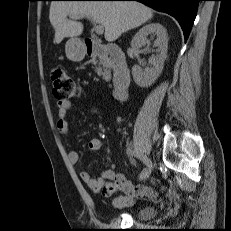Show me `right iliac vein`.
<instances>
[{
    "label": "right iliac vein",
    "instance_id": "1",
    "mask_svg": "<svg viewBox=\"0 0 231 231\" xmlns=\"http://www.w3.org/2000/svg\"><path fill=\"white\" fill-rule=\"evenodd\" d=\"M147 166H148V168H149L150 170L153 168V165H152V162H151L150 159H148V161H147Z\"/></svg>",
    "mask_w": 231,
    "mask_h": 231
}]
</instances>
